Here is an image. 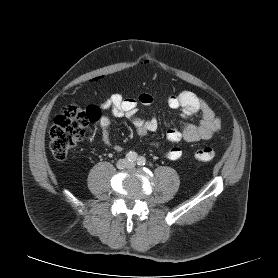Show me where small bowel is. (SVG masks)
<instances>
[{
  "label": "small bowel",
  "instance_id": "c3829d8e",
  "mask_svg": "<svg viewBox=\"0 0 278 278\" xmlns=\"http://www.w3.org/2000/svg\"><path fill=\"white\" fill-rule=\"evenodd\" d=\"M153 102L154 97L148 92H142L132 98L114 93L102 103L101 109L109 111L113 116L127 118L134 124L138 136L144 137L150 132H155L159 124L155 118L144 119L139 116L138 106L151 105ZM167 104L171 109L179 110L184 119L194 115L200 116V121L197 124L188 123L183 127L169 126L166 131V138L172 144H177L182 140L186 142L209 140L221 128V121L209 103L191 91L185 90L169 95ZM110 124L109 115L100 117L102 139L106 145L120 152L122 146L112 143ZM182 154V149L175 145L167 150L165 155L170 160H178Z\"/></svg>",
  "mask_w": 278,
  "mask_h": 278
}]
</instances>
